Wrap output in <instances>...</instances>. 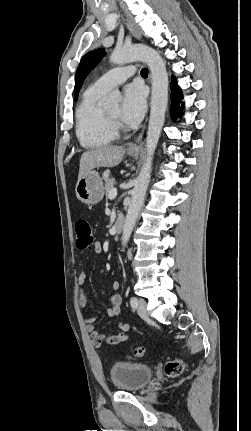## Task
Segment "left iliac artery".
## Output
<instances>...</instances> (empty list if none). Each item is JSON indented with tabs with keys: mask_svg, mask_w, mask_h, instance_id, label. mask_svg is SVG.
Segmentation results:
<instances>
[{
	"mask_svg": "<svg viewBox=\"0 0 251 431\" xmlns=\"http://www.w3.org/2000/svg\"><path fill=\"white\" fill-rule=\"evenodd\" d=\"M130 305L132 308H136L137 307V298L136 297H131L130 299Z\"/></svg>",
	"mask_w": 251,
	"mask_h": 431,
	"instance_id": "left-iliac-artery-1",
	"label": "left iliac artery"
}]
</instances>
